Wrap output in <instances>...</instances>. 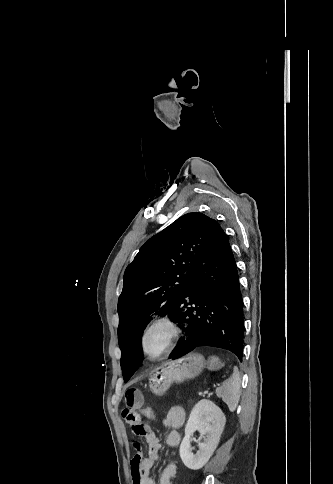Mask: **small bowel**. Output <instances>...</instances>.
<instances>
[{"label":"small bowel","mask_w":333,"mask_h":484,"mask_svg":"<svg viewBox=\"0 0 333 484\" xmlns=\"http://www.w3.org/2000/svg\"><path fill=\"white\" fill-rule=\"evenodd\" d=\"M144 407V397L135 388H130L124 395V408L122 416L132 427L134 434L144 437L148 445V453L143 456L142 451L136 446V454L131 460V473L133 484H156L151 476L152 468L159 458L161 442L157 433L152 427L143 421L142 411ZM185 422V410L181 406L171 407L163 424L170 429L166 437V445L170 448L177 447L181 442L179 429ZM176 474V464L171 462L164 470L160 484H172V479Z\"/></svg>","instance_id":"obj_1"}]
</instances>
